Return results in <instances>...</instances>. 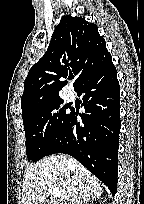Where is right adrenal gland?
<instances>
[{"label":"right adrenal gland","mask_w":144,"mask_h":204,"mask_svg":"<svg viewBox=\"0 0 144 204\" xmlns=\"http://www.w3.org/2000/svg\"><path fill=\"white\" fill-rule=\"evenodd\" d=\"M88 201H89V200H84V204H87V203H88ZM79 204H82V202H81V203H79Z\"/></svg>","instance_id":"right-adrenal-gland-1"}]
</instances>
